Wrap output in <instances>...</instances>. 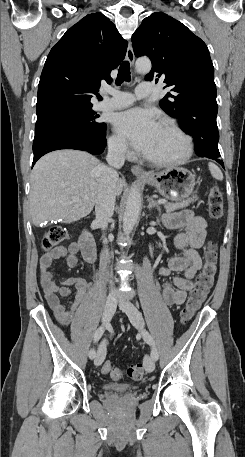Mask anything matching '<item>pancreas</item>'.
<instances>
[{"label": "pancreas", "instance_id": "1", "mask_svg": "<svg viewBox=\"0 0 245 457\" xmlns=\"http://www.w3.org/2000/svg\"><path fill=\"white\" fill-rule=\"evenodd\" d=\"M194 200H198L196 194H193L191 198L181 200V202H161V204H164L167 212H171V210H177V208H184V206H188V204H190V202H194Z\"/></svg>", "mask_w": 245, "mask_h": 457}]
</instances>
